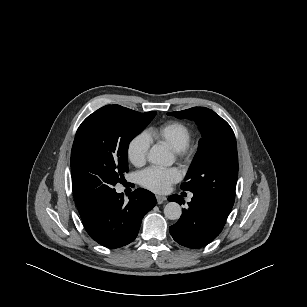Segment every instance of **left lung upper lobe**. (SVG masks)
<instances>
[{"instance_id":"left-lung-upper-lobe-1","label":"left lung upper lobe","mask_w":307,"mask_h":307,"mask_svg":"<svg viewBox=\"0 0 307 307\" xmlns=\"http://www.w3.org/2000/svg\"><path fill=\"white\" fill-rule=\"evenodd\" d=\"M168 115L194 120L202 132L198 151L181 189L202 195L230 212L238 178L237 145L232 128L208 108L193 107Z\"/></svg>"}]
</instances>
